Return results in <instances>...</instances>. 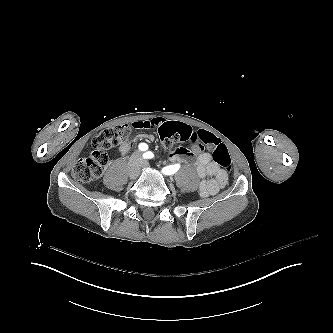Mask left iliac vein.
Listing matches in <instances>:
<instances>
[{
    "label": "left iliac vein",
    "mask_w": 333,
    "mask_h": 333,
    "mask_svg": "<svg viewBox=\"0 0 333 333\" xmlns=\"http://www.w3.org/2000/svg\"><path fill=\"white\" fill-rule=\"evenodd\" d=\"M143 167H144V168H147V167H148V163L145 162V163L143 164Z\"/></svg>",
    "instance_id": "4c4485c4"
}]
</instances>
